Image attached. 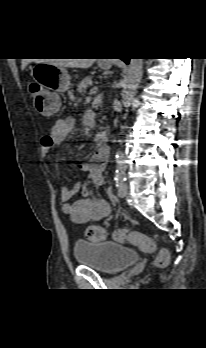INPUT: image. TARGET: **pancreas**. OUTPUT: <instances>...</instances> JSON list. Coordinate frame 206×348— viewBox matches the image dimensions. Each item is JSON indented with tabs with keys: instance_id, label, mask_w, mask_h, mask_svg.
<instances>
[{
	"instance_id": "1",
	"label": "pancreas",
	"mask_w": 206,
	"mask_h": 348,
	"mask_svg": "<svg viewBox=\"0 0 206 348\" xmlns=\"http://www.w3.org/2000/svg\"><path fill=\"white\" fill-rule=\"evenodd\" d=\"M92 85V77L91 76H88V77H85L78 85V92L80 93H86V90L89 86Z\"/></svg>"
}]
</instances>
